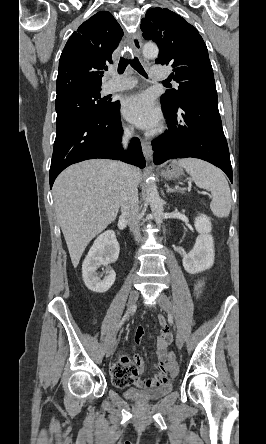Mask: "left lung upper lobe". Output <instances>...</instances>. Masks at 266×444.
<instances>
[{
	"instance_id": "left-lung-upper-lobe-1",
	"label": "left lung upper lobe",
	"mask_w": 266,
	"mask_h": 444,
	"mask_svg": "<svg viewBox=\"0 0 266 444\" xmlns=\"http://www.w3.org/2000/svg\"><path fill=\"white\" fill-rule=\"evenodd\" d=\"M143 37L159 47L156 63L173 67L171 79L178 89L167 90L161 105L176 109L188 99L216 97L217 91L207 47L197 29L169 9L153 8L141 21Z\"/></svg>"
}]
</instances>
